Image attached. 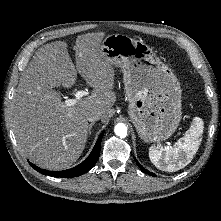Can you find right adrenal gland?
Instances as JSON below:
<instances>
[{
  "mask_svg": "<svg viewBox=\"0 0 221 221\" xmlns=\"http://www.w3.org/2000/svg\"><path fill=\"white\" fill-rule=\"evenodd\" d=\"M94 124H95V122H92V123L89 124L88 135H91L92 127H93Z\"/></svg>",
  "mask_w": 221,
  "mask_h": 221,
  "instance_id": "right-adrenal-gland-1",
  "label": "right adrenal gland"
}]
</instances>
